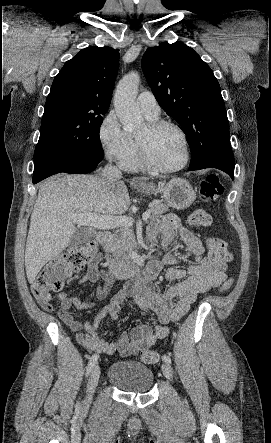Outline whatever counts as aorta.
I'll use <instances>...</instances> for the list:
<instances>
[{"label":"aorta","mask_w":271,"mask_h":443,"mask_svg":"<svg viewBox=\"0 0 271 443\" xmlns=\"http://www.w3.org/2000/svg\"><path fill=\"white\" fill-rule=\"evenodd\" d=\"M139 84L138 72H129L118 82L115 90L114 108L125 132H138L144 124L136 104Z\"/></svg>","instance_id":"aorta-1"}]
</instances>
